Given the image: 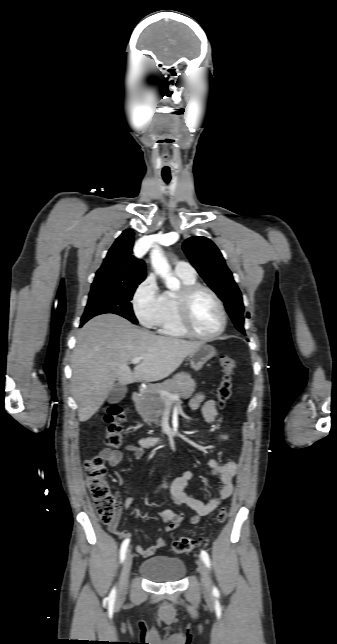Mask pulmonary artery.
Wrapping results in <instances>:
<instances>
[{
    "label": "pulmonary artery",
    "instance_id": "pulmonary-artery-1",
    "mask_svg": "<svg viewBox=\"0 0 337 644\" xmlns=\"http://www.w3.org/2000/svg\"><path fill=\"white\" fill-rule=\"evenodd\" d=\"M175 272L185 275H195L196 271L191 264L184 261H178L175 264Z\"/></svg>",
    "mask_w": 337,
    "mask_h": 644
}]
</instances>
